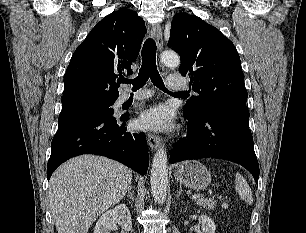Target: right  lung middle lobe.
I'll list each match as a JSON object with an SVG mask.
<instances>
[{"instance_id":"right-lung-middle-lobe-1","label":"right lung middle lobe","mask_w":306,"mask_h":233,"mask_svg":"<svg viewBox=\"0 0 306 233\" xmlns=\"http://www.w3.org/2000/svg\"><path fill=\"white\" fill-rule=\"evenodd\" d=\"M115 101H102L87 99L68 104H63L62 111L58 119V126L95 114H113L111 105Z\"/></svg>"}]
</instances>
